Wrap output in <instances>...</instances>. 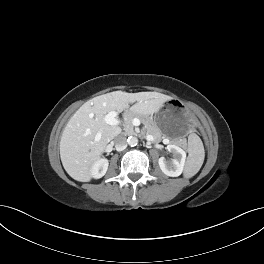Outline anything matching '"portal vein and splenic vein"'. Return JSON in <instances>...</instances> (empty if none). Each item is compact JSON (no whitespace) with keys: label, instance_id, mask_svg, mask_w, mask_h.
I'll use <instances>...</instances> for the list:
<instances>
[{"label":"portal vein and splenic vein","instance_id":"1","mask_svg":"<svg viewBox=\"0 0 264 264\" xmlns=\"http://www.w3.org/2000/svg\"><path fill=\"white\" fill-rule=\"evenodd\" d=\"M117 115L118 113L116 111H111L105 115L104 120L109 125L118 126L119 124H121V121L116 118ZM96 140H98V138H96Z\"/></svg>","mask_w":264,"mask_h":264}]
</instances>
